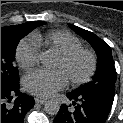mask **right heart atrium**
Here are the masks:
<instances>
[{
  "mask_svg": "<svg viewBox=\"0 0 123 123\" xmlns=\"http://www.w3.org/2000/svg\"><path fill=\"white\" fill-rule=\"evenodd\" d=\"M16 61L21 69L29 71L38 62V47L29 38L23 39L16 48Z\"/></svg>",
  "mask_w": 123,
  "mask_h": 123,
  "instance_id": "1",
  "label": "right heart atrium"
}]
</instances>
